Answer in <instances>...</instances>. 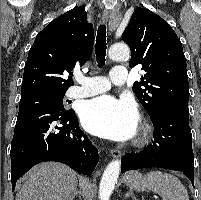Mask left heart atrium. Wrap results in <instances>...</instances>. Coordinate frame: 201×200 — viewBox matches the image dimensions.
Listing matches in <instances>:
<instances>
[{"mask_svg":"<svg viewBox=\"0 0 201 200\" xmlns=\"http://www.w3.org/2000/svg\"><path fill=\"white\" fill-rule=\"evenodd\" d=\"M80 115L87 131L106 139L129 140L138 130L139 115L135 104L128 99L103 95L86 102Z\"/></svg>","mask_w":201,"mask_h":200,"instance_id":"1","label":"left heart atrium"}]
</instances>
